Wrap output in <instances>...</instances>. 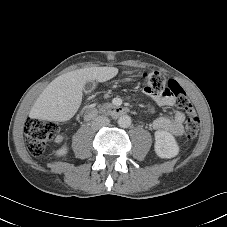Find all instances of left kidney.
<instances>
[{
    "mask_svg": "<svg viewBox=\"0 0 227 227\" xmlns=\"http://www.w3.org/2000/svg\"><path fill=\"white\" fill-rule=\"evenodd\" d=\"M155 152L161 158H172L179 153V146L172 134L166 131L155 132Z\"/></svg>",
    "mask_w": 227,
    "mask_h": 227,
    "instance_id": "1",
    "label": "left kidney"
}]
</instances>
